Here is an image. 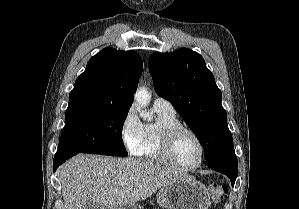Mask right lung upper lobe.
Returning a JSON list of instances; mask_svg holds the SVG:
<instances>
[{
	"label": "right lung upper lobe",
	"mask_w": 299,
	"mask_h": 209,
	"mask_svg": "<svg viewBox=\"0 0 299 209\" xmlns=\"http://www.w3.org/2000/svg\"><path fill=\"white\" fill-rule=\"evenodd\" d=\"M142 70L143 62L136 52L105 48L89 60L77 78L68 106L129 109Z\"/></svg>",
	"instance_id": "right-lung-upper-lobe-1"
}]
</instances>
